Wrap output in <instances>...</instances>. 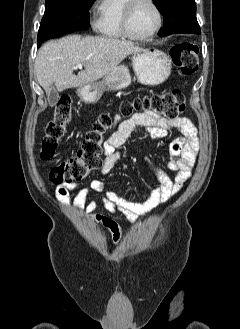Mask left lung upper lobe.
<instances>
[{"label": "left lung upper lobe", "mask_w": 240, "mask_h": 329, "mask_svg": "<svg viewBox=\"0 0 240 329\" xmlns=\"http://www.w3.org/2000/svg\"><path fill=\"white\" fill-rule=\"evenodd\" d=\"M153 1L164 16L163 29L159 31V36L176 33H201L196 19L195 0Z\"/></svg>", "instance_id": "obj_1"}]
</instances>
